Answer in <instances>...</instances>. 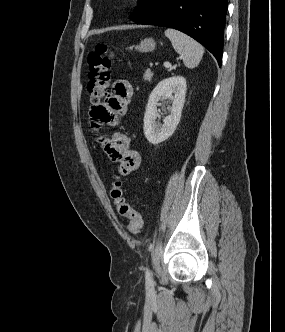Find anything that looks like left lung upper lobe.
<instances>
[{"label":"left lung upper lobe","instance_id":"left-lung-upper-lobe-1","mask_svg":"<svg viewBox=\"0 0 285 332\" xmlns=\"http://www.w3.org/2000/svg\"><path fill=\"white\" fill-rule=\"evenodd\" d=\"M160 0H139L137 9L131 14L130 19L133 21L139 19L146 13H148Z\"/></svg>","mask_w":285,"mask_h":332}]
</instances>
